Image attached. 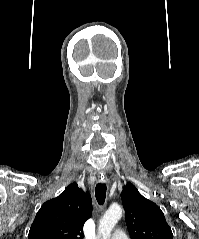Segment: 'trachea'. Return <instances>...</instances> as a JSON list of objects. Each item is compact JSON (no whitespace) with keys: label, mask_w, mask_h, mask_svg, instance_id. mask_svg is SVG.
Masks as SVG:
<instances>
[{"label":"trachea","mask_w":199,"mask_h":239,"mask_svg":"<svg viewBox=\"0 0 199 239\" xmlns=\"http://www.w3.org/2000/svg\"><path fill=\"white\" fill-rule=\"evenodd\" d=\"M95 197L98 204L103 205L106 198V184L98 183L95 188Z\"/></svg>","instance_id":"1"}]
</instances>
